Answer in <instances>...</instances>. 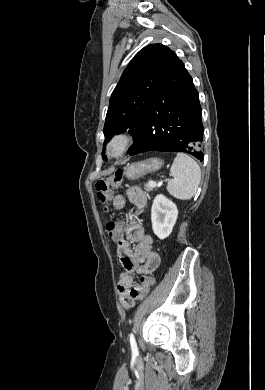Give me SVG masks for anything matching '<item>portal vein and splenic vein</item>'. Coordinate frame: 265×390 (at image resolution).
Segmentation results:
<instances>
[{"label":"portal vein and splenic vein","mask_w":265,"mask_h":390,"mask_svg":"<svg viewBox=\"0 0 265 390\" xmlns=\"http://www.w3.org/2000/svg\"><path fill=\"white\" fill-rule=\"evenodd\" d=\"M152 186H158L154 181L149 182Z\"/></svg>","instance_id":"portal-vein-and-splenic-vein-1"}]
</instances>
